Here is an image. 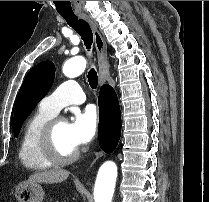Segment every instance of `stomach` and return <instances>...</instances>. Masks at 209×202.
Masks as SVG:
<instances>
[{
	"instance_id": "1",
	"label": "stomach",
	"mask_w": 209,
	"mask_h": 202,
	"mask_svg": "<svg viewBox=\"0 0 209 202\" xmlns=\"http://www.w3.org/2000/svg\"><path fill=\"white\" fill-rule=\"evenodd\" d=\"M15 198L18 202H42L44 192L37 182H20L15 186Z\"/></svg>"
}]
</instances>
